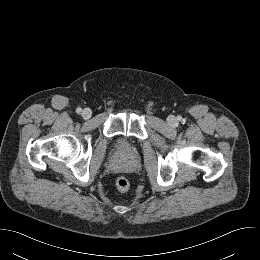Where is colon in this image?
Returning a JSON list of instances; mask_svg holds the SVG:
<instances>
[{
    "label": "colon",
    "mask_w": 260,
    "mask_h": 260,
    "mask_svg": "<svg viewBox=\"0 0 260 260\" xmlns=\"http://www.w3.org/2000/svg\"><path fill=\"white\" fill-rule=\"evenodd\" d=\"M115 184L118 191L122 193L127 192L130 189V182L124 176L118 177Z\"/></svg>",
    "instance_id": "5ec220e1"
}]
</instances>
